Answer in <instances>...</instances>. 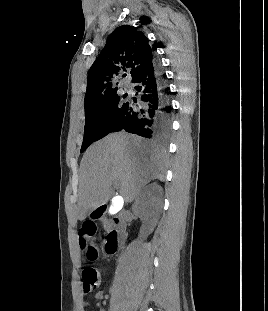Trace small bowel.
Instances as JSON below:
<instances>
[{"label": "small bowel", "instance_id": "1", "mask_svg": "<svg viewBox=\"0 0 268 311\" xmlns=\"http://www.w3.org/2000/svg\"><path fill=\"white\" fill-rule=\"evenodd\" d=\"M95 299L97 301H101L103 299V292L102 291H98L96 294H95ZM88 303L87 302H83V306H87Z\"/></svg>", "mask_w": 268, "mask_h": 311}]
</instances>
